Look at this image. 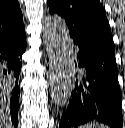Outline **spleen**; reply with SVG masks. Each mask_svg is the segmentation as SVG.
Here are the masks:
<instances>
[{
	"label": "spleen",
	"instance_id": "obj_1",
	"mask_svg": "<svg viewBox=\"0 0 125 128\" xmlns=\"http://www.w3.org/2000/svg\"><path fill=\"white\" fill-rule=\"evenodd\" d=\"M82 128H107L106 126L98 123H91L83 126Z\"/></svg>",
	"mask_w": 125,
	"mask_h": 128
}]
</instances>
